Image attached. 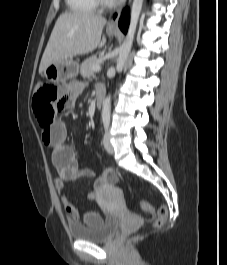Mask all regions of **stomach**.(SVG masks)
<instances>
[{"instance_id": "obj_1", "label": "stomach", "mask_w": 227, "mask_h": 265, "mask_svg": "<svg viewBox=\"0 0 227 265\" xmlns=\"http://www.w3.org/2000/svg\"><path fill=\"white\" fill-rule=\"evenodd\" d=\"M113 30H108L112 35ZM79 71V64L75 61L66 60L62 63L49 65L43 72V76L52 83H61L74 78Z\"/></svg>"}]
</instances>
